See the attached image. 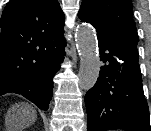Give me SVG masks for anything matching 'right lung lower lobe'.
Returning a JSON list of instances; mask_svg holds the SVG:
<instances>
[{
	"instance_id": "right-lung-lower-lobe-1",
	"label": "right lung lower lobe",
	"mask_w": 151,
	"mask_h": 131,
	"mask_svg": "<svg viewBox=\"0 0 151 131\" xmlns=\"http://www.w3.org/2000/svg\"><path fill=\"white\" fill-rule=\"evenodd\" d=\"M65 39L48 49L45 65L38 72L20 80L0 96L7 93L19 94L46 111L53 95V77L60 68L65 56Z\"/></svg>"
}]
</instances>
